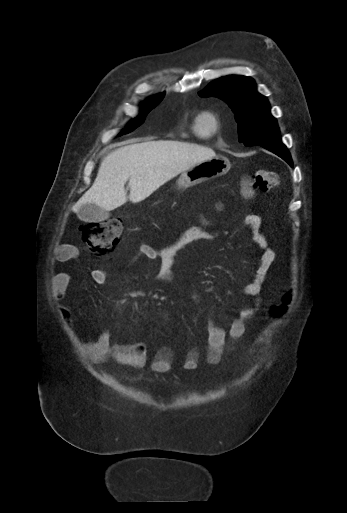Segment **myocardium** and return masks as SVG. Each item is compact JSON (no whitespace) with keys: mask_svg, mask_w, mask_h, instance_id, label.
Here are the masks:
<instances>
[{"mask_svg":"<svg viewBox=\"0 0 347 513\" xmlns=\"http://www.w3.org/2000/svg\"><path fill=\"white\" fill-rule=\"evenodd\" d=\"M198 127L203 135H214L221 128V118L214 111H203L198 115Z\"/></svg>","mask_w":347,"mask_h":513,"instance_id":"myocardium-1","label":"myocardium"}]
</instances>
